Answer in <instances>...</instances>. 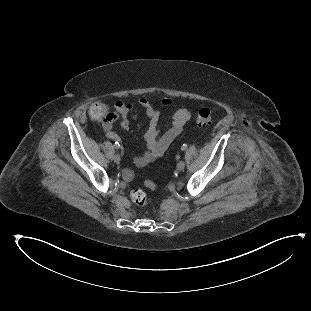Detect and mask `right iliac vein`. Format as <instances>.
I'll return each instance as SVG.
<instances>
[{
	"instance_id": "63e3f726",
	"label": "right iliac vein",
	"mask_w": 311,
	"mask_h": 311,
	"mask_svg": "<svg viewBox=\"0 0 311 311\" xmlns=\"http://www.w3.org/2000/svg\"><path fill=\"white\" fill-rule=\"evenodd\" d=\"M113 159H114V162H115V163H117V164L120 163V160H121L120 155L115 154L114 157H113Z\"/></svg>"
}]
</instances>
